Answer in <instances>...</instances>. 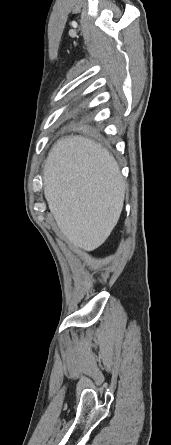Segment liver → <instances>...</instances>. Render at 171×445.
Here are the masks:
<instances>
[{
	"label": "liver",
	"mask_w": 171,
	"mask_h": 445,
	"mask_svg": "<svg viewBox=\"0 0 171 445\" xmlns=\"http://www.w3.org/2000/svg\"><path fill=\"white\" fill-rule=\"evenodd\" d=\"M49 209L69 243L85 251L101 246L123 209L126 183L114 157L83 136L59 139L43 169Z\"/></svg>",
	"instance_id": "liver-1"
}]
</instances>
